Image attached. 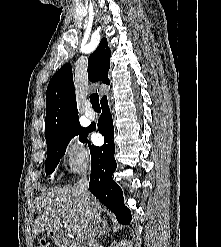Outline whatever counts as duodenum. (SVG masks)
<instances>
[{
	"instance_id": "obj_1",
	"label": "duodenum",
	"mask_w": 221,
	"mask_h": 247,
	"mask_svg": "<svg viewBox=\"0 0 221 247\" xmlns=\"http://www.w3.org/2000/svg\"><path fill=\"white\" fill-rule=\"evenodd\" d=\"M51 236L55 244L59 245L60 247H76V244L67 240L60 231H53Z\"/></svg>"
}]
</instances>
